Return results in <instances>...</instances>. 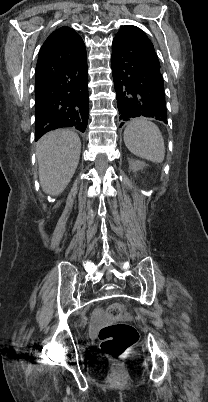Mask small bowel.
Listing matches in <instances>:
<instances>
[{
	"label": "small bowel",
	"instance_id": "1",
	"mask_svg": "<svg viewBox=\"0 0 208 402\" xmlns=\"http://www.w3.org/2000/svg\"><path fill=\"white\" fill-rule=\"evenodd\" d=\"M91 321L93 324H104L106 322V312L100 309H94L91 312Z\"/></svg>",
	"mask_w": 208,
	"mask_h": 402
}]
</instances>
